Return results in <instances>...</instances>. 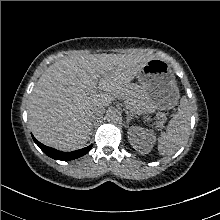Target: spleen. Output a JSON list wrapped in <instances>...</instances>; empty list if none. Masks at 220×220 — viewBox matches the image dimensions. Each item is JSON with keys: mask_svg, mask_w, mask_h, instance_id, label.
Here are the masks:
<instances>
[{"mask_svg": "<svg viewBox=\"0 0 220 220\" xmlns=\"http://www.w3.org/2000/svg\"><path fill=\"white\" fill-rule=\"evenodd\" d=\"M190 114L188 99L182 96L177 113L170 120L166 132L158 138L161 155H172L184 144L189 135Z\"/></svg>", "mask_w": 220, "mask_h": 220, "instance_id": "obj_1", "label": "spleen"}]
</instances>
